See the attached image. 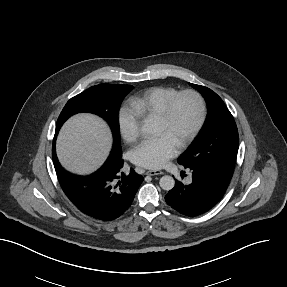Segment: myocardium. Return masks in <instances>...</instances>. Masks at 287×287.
I'll return each mask as SVG.
<instances>
[{
    "instance_id": "obj_1",
    "label": "myocardium",
    "mask_w": 287,
    "mask_h": 287,
    "mask_svg": "<svg viewBox=\"0 0 287 287\" xmlns=\"http://www.w3.org/2000/svg\"><path fill=\"white\" fill-rule=\"evenodd\" d=\"M184 96H190L192 97L198 107V117L197 120L190 130V132L187 134V136L180 142L178 145V148L180 150H183L187 148L197 137L198 133L202 129L205 120H206V104L204 101V98L202 95L193 89H186L180 92H177L175 95H173L165 104L162 113L157 117V121L163 125H168L171 121L173 110L175 107V104L177 101L184 97Z\"/></svg>"
}]
</instances>
